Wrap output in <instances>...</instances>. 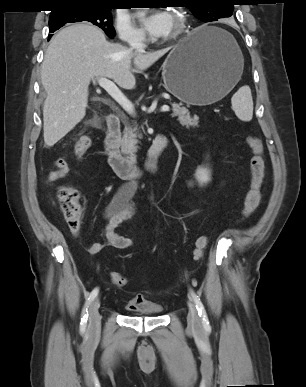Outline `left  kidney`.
I'll return each mask as SVG.
<instances>
[{
    "label": "left kidney",
    "instance_id": "5707ae66",
    "mask_svg": "<svg viewBox=\"0 0 306 387\" xmlns=\"http://www.w3.org/2000/svg\"><path fill=\"white\" fill-rule=\"evenodd\" d=\"M195 177L199 183H207L210 181V171L205 167H199L196 170Z\"/></svg>",
    "mask_w": 306,
    "mask_h": 387
}]
</instances>
